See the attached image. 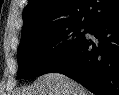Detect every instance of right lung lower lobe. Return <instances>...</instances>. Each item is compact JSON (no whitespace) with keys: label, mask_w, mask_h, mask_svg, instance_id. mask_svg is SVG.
I'll list each match as a JSON object with an SVG mask.
<instances>
[{"label":"right lung lower lobe","mask_w":119,"mask_h":95,"mask_svg":"<svg viewBox=\"0 0 119 95\" xmlns=\"http://www.w3.org/2000/svg\"><path fill=\"white\" fill-rule=\"evenodd\" d=\"M85 36L46 73L58 72L96 95H119V14L88 28Z\"/></svg>","instance_id":"right-lung-lower-lobe-1"}]
</instances>
